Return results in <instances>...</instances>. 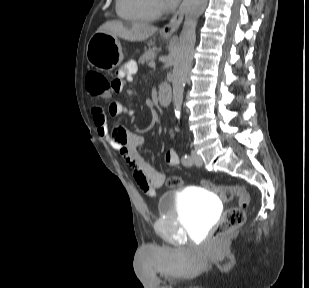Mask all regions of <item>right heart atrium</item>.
Wrapping results in <instances>:
<instances>
[{
    "mask_svg": "<svg viewBox=\"0 0 309 288\" xmlns=\"http://www.w3.org/2000/svg\"><path fill=\"white\" fill-rule=\"evenodd\" d=\"M157 4H158L159 8H162V3L159 0H157Z\"/></svg>",
    "mask_w": 309,
    "mask_h": 288,
    "instance_id": "obj_1",
    "label": "right heart atrium"
}]
</instances>
